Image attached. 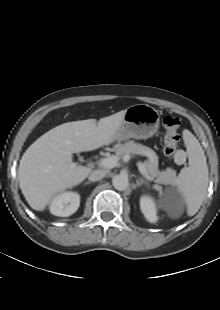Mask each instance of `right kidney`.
<instances>
[{
  "label": "right kidney",
  "mask_w": 220,
  "mask_h": 310,
  "mask_svg": "<svg viewBox=\"0 0 220 310\" xmlns=\"http://www.w3.org/2000/svg\"><path fill=\"white\" fill-rule=\"evenodd\" d=\"M80 205L77 192L66 191L56 195L50 203V212L55 216L68 217L76 212Z\"/></svg>",
  "instance_id": "right-kidney-1"
}]
</instances>
